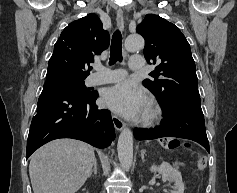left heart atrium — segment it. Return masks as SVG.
<instances>
[{
  "label": "left heart atrium",
  "mask_w": 237,
  "mask_h": 193,
  "mask_svg": "<svg viewBox=\"0 0 237 193\" xmlns=\"http://www.w3.org/2000/svg\"><path fill=\"white\" fill-rule=\"evenodd\" d=\"M103 102L114 112L130 119L144 117L150 104L145 93L137 85L128 81L106 89Z\"/></svg>",
  "instance_id": "obj_1"
}]
</instances>
